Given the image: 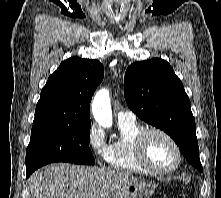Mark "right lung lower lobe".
Returning <instances> with one entry per match:
<instances>
[{
    "mask_svg": "<svg viewBox=\"0 0 221 198\" xmlns=\"http://www.w3.org/2000/svg\"><path fill=\"white\" fill-rule=\"evenodd\" d=\"M31 173H26V177L28 178L30 176Z\"/></svg>",
    "mask_w": 221,
    "mask_h": 198,
    "instance_id": "1",
    "label": "right lung lower lobe"
}]
</instances>
